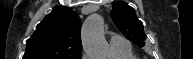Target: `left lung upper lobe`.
Masks as SVG:
<instances>
[{"label":"left lung upper lobe","instance_id":"obj_1","mask_svg":"<svg viewBox=\"0 0 193 59\" xmlns=\"http://www.w3.org/2000/svg\"><path fill=\"white\" fill-rule=\"evenodd\" d=\"M110 14L117 28L128 40L140 47L145 45L144 41L147 36L144 33L143 24L137 19L132 7L119 1L113 4Z\"/></svg>","mask_w":193,"mask_h":59}]
</instances>
